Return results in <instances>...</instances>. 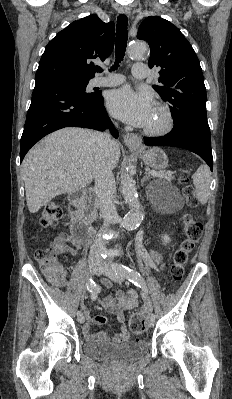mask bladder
I'll return each instance as SVG.
<instances>
[{
  "label": "bladder",
  "instance_id": "1",
  "mask_svg": "<svg viewBox=\"0 0 232 399\" xmlns=\"http://www.w3.org/2000/svg\"><path fill=\"white\" fill-rule=\"evenodd\" d=\"M82 354L90 359L116 363H129L141 358L148 351V343L142 341H90L82 344Z\"/></svg>",
  "mask_w": 232,
  "mask_h": 399
}]
</instances>
